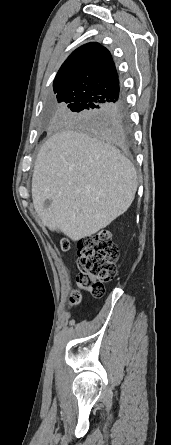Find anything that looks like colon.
I'll use <instances>...</instances> for the list:
<instances>
[{
  "label": "colon",
  "mask_w": 171,
  "mask_h": 445,
  "mask_svg": "<svg viewBox=\"0 0 171 445\" xmlns=\"http://www.w3.org/2000/svg\"><path fill=\"white\" fill-rule=\"evenodd\" d=\"M60 247L63 251L71 248L67 239H61ZM79 273L76 282L81 291L90 293L95 298L104 295V281L111 280L116 272L115 261L119 251L111 239L108 231L82 239L77 246ZM81 301V292L73 291L70 304L76 305Z\"/></svg>",
  "instance_id": "1"
}]
</instances>
